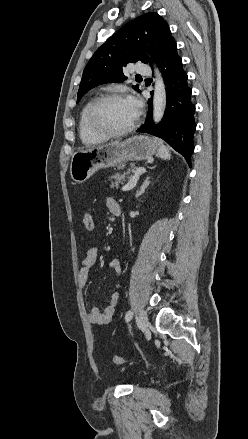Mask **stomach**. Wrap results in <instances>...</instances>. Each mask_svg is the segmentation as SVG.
<instances>
[{
    "label": "stomach",
    "instance_id": "0dacf381",
    "mask_svg": "<svg viewBox=\"0 0 248 439\" xmlns=\"http://www.w3.org/2000/svg\"><path fill=\"white\" fill-rule=\"evenodd\" d=\"M161 146V141L139 135L122 142L77 150L71 158V178L76 183H83L99 169L113 167L126 161L147 159L159 153Z\"/></svg>",
    "mask_w": 248,
    "mask_h": 439
}]
</instances>
